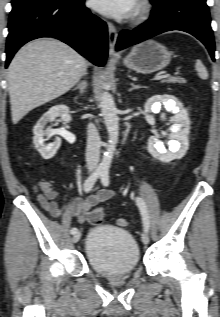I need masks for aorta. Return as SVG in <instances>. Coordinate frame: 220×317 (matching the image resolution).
<instances>
[{"instance_id":"obj_1","label":"aorta","mask_w":220,"mask_h":317,"mask_svg":"<svg viewBox=\"0 0 220 317\" xmlns=\"http://www.w3.org/2000/svg\"><path fill=\"white\" fill-rule=\"evenodd\" d=\"M101 113L108 132L109 143L100 164L101 170H108L116 149L119 136V118L112 95L105 91L100 98Z\"/></svg>"}]
</instances>
